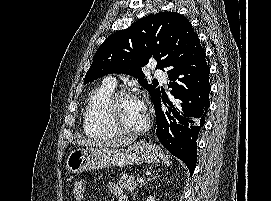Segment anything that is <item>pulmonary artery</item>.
<instances>
[{"instance_id":"e3ab8cb5","label":"pulmonary artery","mask_w":271,"mask_h":201,"mask_svg":"<svg viewBox=\"0 0 271 201\" xmlns=\"http://www.w3.org/2000/svg\"><path fill=\"white\" fill-rule=\"evenodd\" d=\"M155 75L156 77H158L159 79H161V81L165 82L166 81V73L158 68L155 70ZM104 85L111 87V88H115L116 86V79L113 76H108L104 79Z\"/></svg>"}]
</instances>
